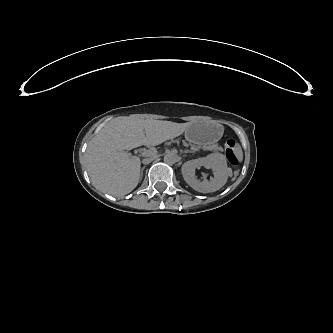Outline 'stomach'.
I'll return each mask as SVG.
<instances>
[{
	"label": "stomach",
	"instance_id": "obj_1",
	"mask_svg": "<svg viewBox=\"0 0 333 333\" xmlns=\"http://www.w3.org/2000/svg\"><path fill=\"white\" fill-rule=\"evenodd\" d=\"M185 137H186V140H187L188 142H190V143H193V144H200V142L197 141V140H195V139H193V138L191 137L190 134H187Z\"/></svg>",
	"mask_w": 333,
	"mask_h": 333
}]
</instances>
